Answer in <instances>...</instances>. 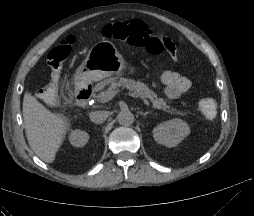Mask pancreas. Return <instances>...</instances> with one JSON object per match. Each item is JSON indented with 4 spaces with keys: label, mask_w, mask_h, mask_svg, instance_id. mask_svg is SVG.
<instances>
[{
    "label": "pancreas",
    "mask_w": 254,
    "mask_h": 216,
    "mask_svg": "<svg viewBox=\"0 0 254 216\" xmlns=\"http://www.w3.org/2000/svg\"><path fill=\"white\" fill-rule=\"evenodd\" d=\"M100 87H108V90H114L117 87H123L129 91L134 92L137 95L142 96L143 98L149 99L152 102V105L155 109H160L170 114L182 115V113L176 108H172L167 105V102L163 98L158 97V95L150 90L144 83L140 81H135L133 79H128L124 77H111L103 81ZM105 92H100L97 96L98 100H102L103 94Z\"/></svg>",
    "instance_id": "obj_1"
}]
</instances>
